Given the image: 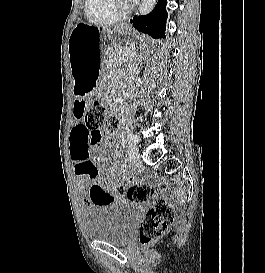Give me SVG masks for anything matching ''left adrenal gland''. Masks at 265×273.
Instances as JSON below:
<instances>
[{"label":"left adrenal gland","mask_w":265,"mask_h":273,"mask_svg":"<svg viewBox=\"0 0 265 273\" xmlns=\"http://www.w3.org/2000/svg\"><path fill=\"white\" fill-rule=\"evenodd\" d=\"M147 55H148V54H145V55H144V54H140V55L137 56V60L140 61V60L146 58Z\"/></svg>","instance_id":"obj_1"}]
</instances>
